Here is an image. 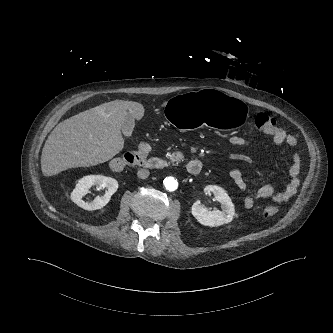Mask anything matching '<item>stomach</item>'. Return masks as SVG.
<instances>
[{"label":"stomach","mask_w":333,"mask_h":333,"mask_svg":"<svg viewBox=\"0 0 333 333\" xmlns=\"http://www.w3.org/2000/svg\"><path fill=\"white\" fill-rule=\"evenodd\" d=\"M165 112L181 129L206 127L237 131L249 119V110L243 101L212 90L177 95L169 100Z\"/></svg>","instance_id":"stomach-1"}]
</instances>
